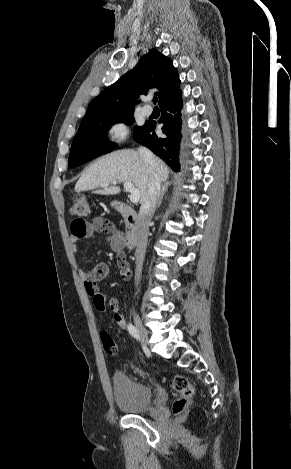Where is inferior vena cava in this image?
Segmentation results:
<instances>
[{"label": "inferior vena cava", "mask_w": 291, "mask_h": 469, "mask_svg": "<svg viewBox=\"0 0 291 469\" xmlns=\"http://www.w3.org/2000/svg\"><path fill=\"white\" fill-rule=\"evenodd\" d=\"M139 154L143 158L144 163L150 170V183L148 186V192L141 203L139 216H138V227H137V245L135 251L136 257V272L135 280L136 285L141 278L142 265L145 258L149 223L155 212L156 204L160 196L161 178L157 172V166L154 155L150 150L145 147L138 149Z\"/></svg>", "instance_id": "obj_1"}]
</instances>
